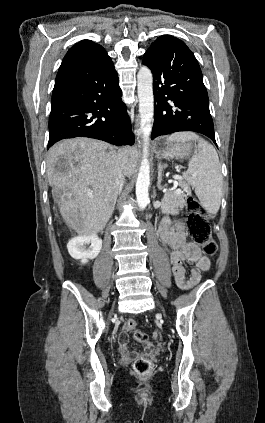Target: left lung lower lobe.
Listing matches in <instances>:
<instances>
[{
	"instance_id": "left-lung-lower-lobe-1",
	"label": "left lung lower lobe",
	"mask_w": 265,
	"mask_h": 423,
	"mask_svg": "<svg viewBox=\"0 0 265 423\" xmlns=\"http://www.w3.org/2000/svg\"><path fill=\"white\" fill-rule=\"evenodd\" d=\"M143 63L152 70L154 79L152 139L194 131L217 145L202 72L185 43L170 35L161 36L146 51Z\"/></svg>"
}]
</instances>
